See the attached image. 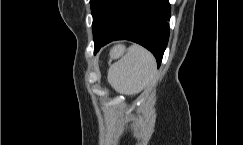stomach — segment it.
<instances>
[{
	"mask_svg": "<svg viewBox=\"0 0 243 145\" xmlns=\"http://www.w3.org/2000/svg\"><path fill=\"white\" fill-rule=\"evenodd\" d=\"M117 49L118 52H123L124 51V48L122 46H118V47H115Z\"/></svg>",
	"mask_w": 243,
	"mask_h": 145,
	"instance_id": "obj_1",
	"label": "stomach"
}]
</instances>
